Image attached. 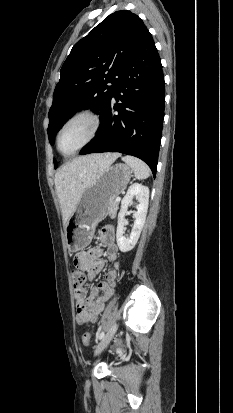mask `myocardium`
<instances>
[{
  "label": "myocardium",
  "mask_w": 233,
  "mask_h": 413,
  "mask_svg": "<svg viewBox=\"0 0 233 413\" xmlns=\"http://www.w3.org/2000/svg\"><path fill=\"white\" fill-rule=\"evenodd\" d=\"M81 118H86V119L90 120V122L92 124V128H91V131H90V134H89L88 138L80 146H78L76 149H74L70 153L62 152L61 149H60V144H59L62 132L64 131V129L69 124H71L75 120L81 119ZM100 128H101V118H100V115L98 114V112H96L95 110H93L91 108H83V109H80V110L76 111L75 113H73L70 117H68L63 122V124L61 125V127L59 128V130L57 132V135H56V148H57L58 152L60 154H62L63 156H66V157L76 154L81 149H83L85 146L90 144L97 137V135L100 131Z\"/></svg>",
  "instance_id": "1"
}]
</instances>
